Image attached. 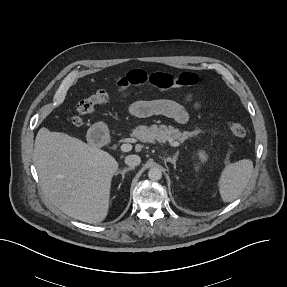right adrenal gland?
Segmentation results:
<instances>
[{
    "label": "right adrenal gland",
    "mask_w": 287,
    "mask_h": 287,
    "mask_svg": "<svg viewBox=\"0 0 287 287\" xmlns=\"http://www.w3.org/2000/svg\"><path fill=\"white\" fill-rule=\"evenodd\" d=\"M133 169H134V167L124 168L123 170L117 171L116 175L121 174L122 175V181H123L125 173L130 171V170H133ZM120 185H121V183H120ZM120 185H119V187H120Z\"/></svg>",
    "instance_id": "right-adrenal-gland-1"
}]
</instances>
